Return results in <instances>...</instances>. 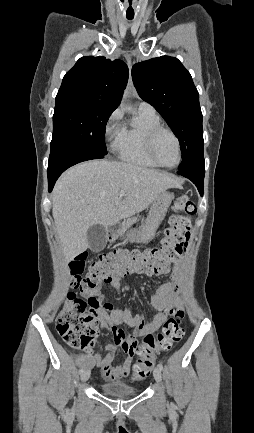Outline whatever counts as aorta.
I'll return each mask as SVG.
<instances>
[{"label":"aorta","mask_w":254,"mask_h":433,"mask_svg":"<svg viewBox=\"0 0 254 433\" xmlns=\"http://www.w3.org/2000/svg\"><path fill=\"white\" fill-rule=\"evenodd\" d=\"M125 100V95H124V97H123V100L122 101H124Z\"/></svg>","instance_id":"1"}]
</instances>
